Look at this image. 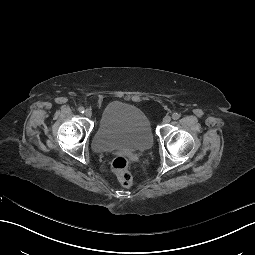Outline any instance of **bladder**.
<instances>
[{"mask_svg":"<svg viewBox=\"0 0 255 255\" xmlns=\"http://www.w3.org/2000/svg\"><path fill=\"white\" fill-rule=\"evenodd\" d=\"M152 144L153 134L142 110L121 102L110 103L104 108L93 139V148L97 152L146 150Z\"/></svg>","mask_w":255,"mask_h":255,"instance_id":"31cf9c89","label":"bladder"}]
</instances>
